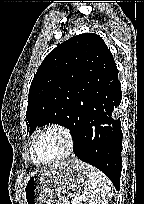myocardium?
<instances>
[{"instance_id": "obj_1", "label": "myocardium", "mask_w": 144, "mask_h": 204, "mask_svg": "<svg viewBox=\"0 0 144 204\" xmlns=\"http://www.w3.org/2000/svg\"><path fill=\"white\" fill-rule=\"evenodd\" d=\"M47 131H56V132H59L61 135H63V137L65 138V141H66V150L57 159L45 162V161H41L37 158L36 152H35V147H36V143H37V140L39 139V137ZM75 146H76V139H75V135H74L73 131L68 126H66L64 124L52 123V124L46 125L43 128H41L37 132L35 137L33 138V141L31 144V156H32L33 161L37 164L46 165V166L55 165V164H58V163L65 161L67 158H69L73 154V152L75 150Z\"/></svg>"}]
</instances>
